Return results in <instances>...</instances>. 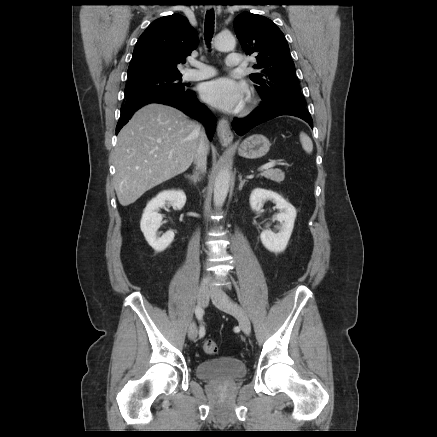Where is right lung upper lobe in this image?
Wrapping results in <instances>:
<instances>
[{
	"label": "right lung upper lobe",
	"mask_w": 437,
	"mask_h": 437,
	"mask_svg": "<svg viewBox=\"0 0 437 437\" xmlns=\"http://www.w3.org/2000/svg\"><path fill=\"white\" fill-rule=\"evenodd\" d=\"M198 34L179 14L153 21L139 37L128 74H181L177 64L197 47Z\"/></svg>",
	"instance_id": "cb5924a9"
}]
</instances>
